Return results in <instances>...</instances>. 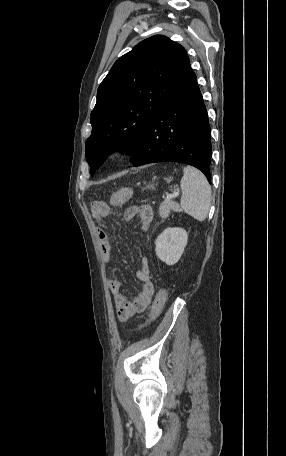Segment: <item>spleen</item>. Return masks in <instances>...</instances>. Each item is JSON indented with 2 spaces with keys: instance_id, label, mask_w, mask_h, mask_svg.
<instances>
[{
  "instance_id": "1",
  "label": "spleen",
  "mask_w": 286,
  "mask_h": 456,
  "mask_svg": "<svg viewBox=\"0 0 286 456\" xmlns=\"http://www.w3.org/2000/svg\"><path fill=\"white\" fill-rule=\"evenodd\" d=\"M180 182L181 207L188 215L198 221L207 218L211 203V188L202 172L187 166Z\"/></svg>"
}]
</instances>
